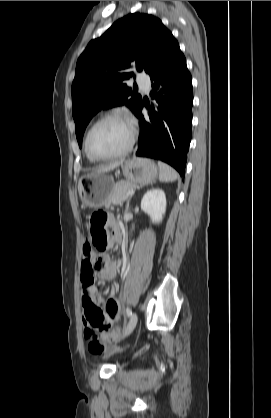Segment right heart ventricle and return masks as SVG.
Segmentation results:
<instances>
[{
    "instance_id": "right-heart-ventricle-1",
    "label": "right heart ventricle",
    "mask_w": 271,
    "mask_h": 418,
    "mask_svg": "<svg viewBox=\"0 0 271 418\" xmlns=\"http://www.w3.org/2000/svg\"><path fill=\"white\" fill-rule=\"evenodd\" d=\"M86 155H87V157H88V159L90 160V161H92V162H95L96 160H94V159H92L87 153H86Z\"/></svg>"
}]
</instances>
